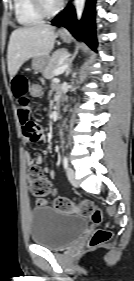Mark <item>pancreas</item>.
I'll return each mask as SVG.
<instances>
[{
  "label": "pancreas",
  "instance_id": "obj_1",
  "mask_svg": "<svg viewBox=\"0 0 134 281\" xmlns=\"http://www.w3.org/2000/svg\"><path fill=\"white\" fill-rule=\"evenodd\" d=\"M68 52L66 49H59L55 51L48 59V63L43 70V77L46 79H52L54 77L53 71L60 67L62 63L66 62V56Z\"/></svg>",
  "mask_w": 134,
  "mask_h": 281
}]
</instances>
